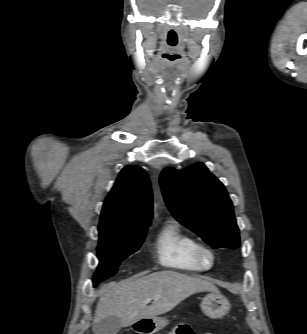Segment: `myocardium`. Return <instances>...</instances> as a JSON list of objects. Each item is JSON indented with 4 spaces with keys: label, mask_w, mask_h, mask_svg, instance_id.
Wrapping results in <instances>:
<instances>
[{
    "label": "myocardium",
    "mask_w": 307,
    "mask_h": 334,
    "mask_svg": "<svg viewBox=\"0 0 307 334\" xmlns=\"http://www.w3.org/2000/svg\"><path fill=\"white\" fill-rule=\"evenodd\" d=\"M194 256L196 261L205 270L210 269L214 266L216 261L215 252L208 245L197 243L194 248Z\"/></svg>",
    "instance_id": "1"
}]
</instances>
